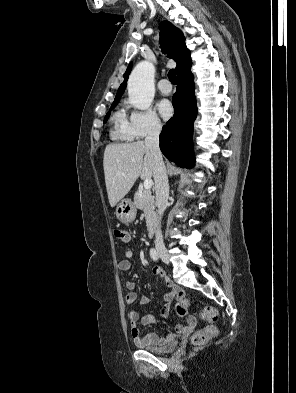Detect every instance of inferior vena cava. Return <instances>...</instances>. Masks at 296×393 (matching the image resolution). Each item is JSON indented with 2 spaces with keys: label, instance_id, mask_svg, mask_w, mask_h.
Returning a JSON list of instances; mask_svg holds the SVG:
<instances>
[{
  "label": "inferior vena cava",
  "instance_id": "obj_1",
  "mask_svg": "<svg viewBox=\"0 0 296 393\" xmlns=\"http://www.w3.org/2000/svg\"><path fill=\"white\" fill-rule=\"evenodd\" d=\"M161 129L162 126L160 123H153L148 131L147 137L145 138V144L150 148L154 157L153 177L155 181L157 212L160 217L163 215L167 207L169 197L168 177L159 147V135L161 133ZM155 245L164 246L163 236L160 230L156 232Z\"/></svg>",
  "mask_w": 296,
  "mask_h": 393
}]
</instances>
